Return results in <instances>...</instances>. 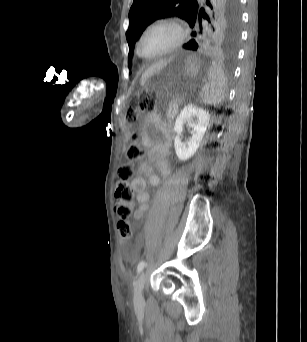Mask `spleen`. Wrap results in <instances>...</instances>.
Segmentation results:
<instances>
[{"label":"spleen","instance_id":"obj_1","mask_svg":"<svg viewBox=\"0 0 307 342\" xmlns=\"http://www.w3.org/2000/svg\"><path fill=\"white\" fill-rule=\"evenodd\" d=\"M209 66L210 76L209 83H203V93L200 94V99L205 104H219L226 96V78L223 74V70H220V66L215 60Z\"/></svg>","mask_w":307,"mask_h":342}]
</instances>
